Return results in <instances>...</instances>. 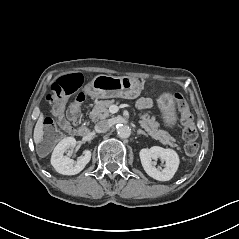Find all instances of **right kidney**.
Masks as SVG:
<instances>
[{"label":"right kidney","instance_id":"right-kidney-1","mask_svg":"<svg viewBox=\"0 0 239 239\" xmlns=\"http://www.w3.org/2000/svg\"><path fill=\"white\" fill-rule=\"evenodd\" d=\"M76 143L74 137H67L61 140L55 147L51 164L55 170L62 175H76L80 173L90 162L92 152L89 149L82 151V156L74 164L73 160L65 156V153L71 151Z\"/></svg>","mask_w":239,"mask_h":239}]
</instances>
